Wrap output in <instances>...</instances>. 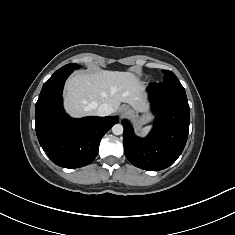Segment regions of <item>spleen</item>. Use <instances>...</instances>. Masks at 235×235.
<instances>
[{"label":"spleen","instance_id":"1","mask_svg":"<svg viewBox=\"0 0 235 235\" xmlns=\"http://www.w3.org/2000/svg\"><path fill=\"white\" fill-rule=\"evenodd\" d=\"M150 129H151V127L144 128V129H142V130L140 131V133H141L142 135H147L148 132L150 131Z\"/></svg>","mask_w":235,"mask_h":235}]
</instances>
